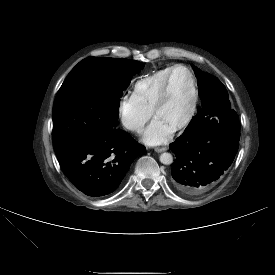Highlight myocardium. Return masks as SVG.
<instances>
[{
	"mask_svg": "<svg viewBox=\"0 0 275 275\" xmlns=\"http://www.w3.org/2000/svg\"><path fill=\"white\" fill-rule=\"evenodd\" d=\"M177 69H183L189 75L191 90H192V101H191L190 109H189L187 116L181 123H179L178 125H176L173 128L174 131L183 130L191 123L192 119L195 116L196 108H197V104H198V89H197L195 77H194L192 71L188 67H186L185 65H182V64H178V65L173 66L171 68L170 72L168 73V75L164 81V84L159 92L156 103L153 107V114L156 116L157 113L159 112V110L161 109V107L163 106V104L165 103L168 93H169L170 81H171L172 75Z\"/></svg>",
	"mask_w": 275,
	"mask_h": 275,
	"instance_id": "1",
	"label": "myocardium"
}]
</instances>
